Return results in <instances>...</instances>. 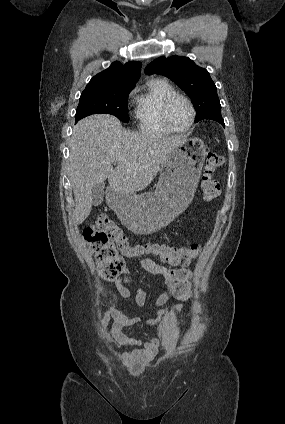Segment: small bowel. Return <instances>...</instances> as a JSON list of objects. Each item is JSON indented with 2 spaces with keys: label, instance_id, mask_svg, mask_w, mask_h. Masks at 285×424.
Here are the masks:
<instances>
[{
  "label": "small bowel",
  "instance_id": "obj_1",
  "mask_svg": "<svg viewBox=\"0 0 285 424\" xmlns=\"http://www.w3.org/2000/svg\"><path fill=\"white\" fill-rule=\"evenodd\" d=\"M139 263L147 272L161 277L167 287L166 290L157 297L155 301L157 306H164L171 297L176 298L180 302H184L190 297L192 272L189 269H171L147 257L140 258ZM114 284L119 296L122 298L131 297L132 293L127 285L135 284V281L128 268H124L121 275L114 280ZM135 299L139 306H144L149 303V296L141 287H138ZM180 309L181 304H177L174 307H163L160 308L152 318L142 319L127 314L113 305H107L104 314L112 323L111 335L113 339L119 344L138 347L132 351L120 353V361L123 364H130L139 355H153L159 347V340L157 338H149L146 340L129 338L124 334V328L133 327L141 323L150 326L156 325L169 312L172 310L179 311Z\"/></svg>",
  "mask_w": 285,
  "mask_h": 424
}]
</instances>
